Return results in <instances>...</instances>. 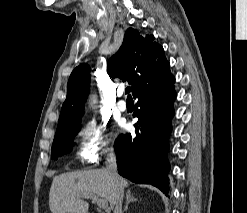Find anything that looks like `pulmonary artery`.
<instances>
[{"label": "pulmonary artery", "instance_id": "obj_1", "mask_svg": "<svg viewBox=\"0 0 247 213\" xmlns=\"http://www.w3.org/2000/svg\"><path fill=\"white\" fill-rule=\"evenodd\" d=\"M117 95H118L119 98H121L122 95H123V91L122 90H119ZM116 107H117L118 110H120L122 112H124V111L127 110V104H126V102L123 99H119L117 101Z\"/></svg>", "mask_w": 247, "mask_h": 213}]
</instances>
